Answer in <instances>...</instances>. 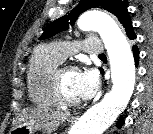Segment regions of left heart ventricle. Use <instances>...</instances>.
<instances>
[{"mask_svg":"<svg viewBox=\"0 0 153 134\" xmlns=\"http://www.w3.org/2000/svg\"><path fill=\"white\" fill-rule=\"evenodd\" d=\"M78 71L65 69L61 74L62 86L65 95L73 100H81L78 91Z\"/></svg>","mask_w":153,"mask_h":134,"instance_id":"1","label":"left heart ventricle"}]
</instances>
